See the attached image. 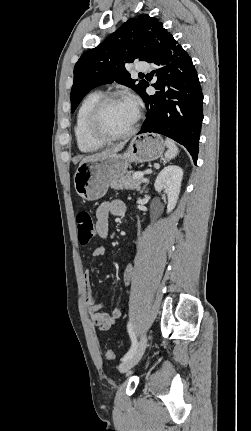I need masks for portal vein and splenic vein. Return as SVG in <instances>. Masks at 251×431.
Segmentation results:
<instances>
[{"instance_id":"obj_1","label":"portal vein and splenic vein","mask_w":251,"mask_h":431,"mask_svg":"<svg viewBox=\"0 0 251 431\" xmlns=\"http://www.w3.org/2000/svg\"><path fill=\"white\" fill-rule=\"evenodd\" d=\"M143 177H144V173H141V172L135 173L133 175V178H142L143 181H146V179H144Z\"/></svg>"}]
</instances>
